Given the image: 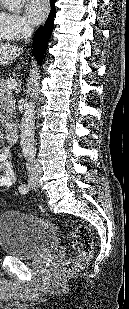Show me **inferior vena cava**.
Returning <instances> with one entry per match:
<instances>
[{
  "instance_id": "602c4592",
  "label": "inferior vena cava",
  "mask_w": 129,
  "mask_h": 309,
  "mask_svg": "<svg viewBox=\"0 0 129 309\" xmlns=\"http://www.w3.org/2000/svg\"><path fill=\"white\" fill-rule=\"evenodd\" d=\"M23 31H24L23 33L24 41L27 42L32 37L34 29L29 24H26L24 25ZM35 168L37 171H40V167L37 164L35 165Z\"/></svg>"
}]
</instances>
